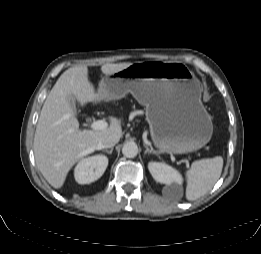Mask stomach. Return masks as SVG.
Returning a JSON list of instances; mask_svg holds the SVG:
<instances>
[{
  "instance_id": "stomach-1",
  "label": "stomach",
  "mask_w": 261,
  "mask_h": 254,
  "mask_svg": "<svg viewBox=\"0 0 261 254\" xmlns=\"http://www.w3.org/2000/svg\"><path fill=\"white\" fill-rule=\"evenodd\" d=\"M201 86L181 62H138L103 78L97 93L116 101L131 93L145 106L151 139L161 153L196 151L211 139L213 124Z\"/></svg>"
}]
</instances>
